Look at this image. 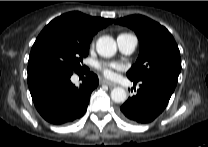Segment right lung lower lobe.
I'll return each mask as SVG.
<instances>
[{
	"label": "right lung lower lobe",
	"instance_id": "98d812e1",
	"mask_svg": "<svg viewBox=\"0 0 208 147\" xmlns=\"http://www.w3.org/2000/svg\"><path fill=\"white\" fill-rule=\"evenodd\" d=\"M79 73V72H77ZM82 73L87 74L88 68ZM73 72L38 71L28 74V86L40 115L52 124H65L83 116L91 92L98 86V77L90 72L76 87L70 77Z\"/></svg>",
	"mask_w": 208,
	"mask_h": 147
}]
</instances>
